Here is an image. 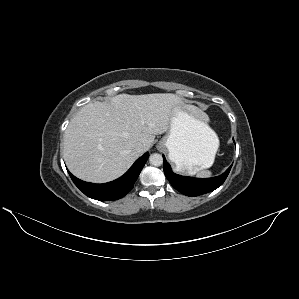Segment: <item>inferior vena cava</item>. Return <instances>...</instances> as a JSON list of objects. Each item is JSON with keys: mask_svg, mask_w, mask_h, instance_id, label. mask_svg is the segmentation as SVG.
<instances>
[{"mask_svg": "<svg viewBox=\"0 0 299 299\" xmlns=\"http://www.w3.org/2000/svg\"><path fill=\"white\" fill-rule=\"evenodd\" d=\"M135 150L138 152V153H143L145 152V147L143 144L141 143H138L135 147Z\"/></svg>", "mask_w": 299, "mask_h": 299, "instance_id": "602c4592", "label": "inferior vena cava"}]
</instances>
